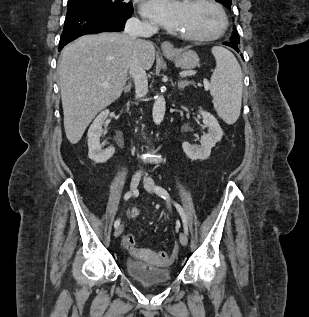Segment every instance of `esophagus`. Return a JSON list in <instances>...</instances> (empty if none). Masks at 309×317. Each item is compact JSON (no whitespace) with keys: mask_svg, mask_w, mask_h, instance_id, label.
<instances>
[{"mask_svg":"<svg viewBox=\"0 0 309 317\" xmlns=\"http://www.w3.org/2000/svg\"><path fill=\"white\" fill-rule=\"evenodd\" d=\"M161 49L165 53H171L174 51V47L169 41L162 42Z\"/></svg>","mask_w":309,"mask_h":317,"instance_id":"34e87169","label":"esophagus"}]
</instances>
